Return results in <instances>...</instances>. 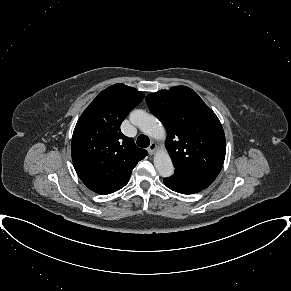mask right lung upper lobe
<instances>
[{"label":"right lung upper lobe","mask_w":291,"mask_h":291,"mask_svg":"<svg viewBox=\"0 0 291 291\" xmlns=\"http://www.w3.org/2000/svg\"><path fill=\"white\" fill-rule=\"evenodd\" d=\"M144 93L124 84L100 92L80 116L72 136V161L82 182L107 195L123 188L133 168L148 155L120 131Z\"/></svg>","instance_id":"1"}]
</instances>
